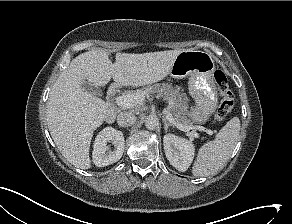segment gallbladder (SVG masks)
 Here are the masks:
<instances>
[{
	"instance_id": "bac80fb5",
	"label": "gallbladder",
	"mask_w": 292,
	"mask_h": 224,
	"mask_svg": "<svg viewBox=\"0 0 292 224\" xmlns=\"http://www.w3.org/2000/svg\"><path fill=\"white\" fill-rule=\"evenodd\" d=\"M82 89L86 92H89L91 94H94L95 96H102L103 92L101 91L100 88L95 87L93 85H91L90 83L84 82L81 85Z\"/></svg>"
}]
</instances>
